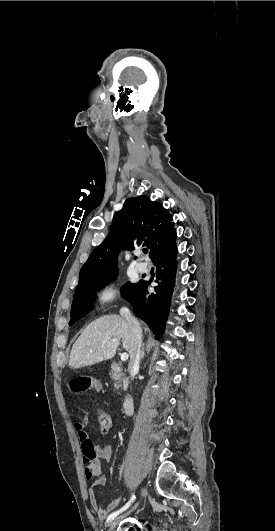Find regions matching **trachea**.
I'll return each mask as SVG.
<instances>
[{"mask_svg": "<svg viewBox=\"0 0 275 531\" xmlns=\"http://www.w3.org/2000/svg\"><path fill=\"white\" fill-rule=\"evenodd\" d=\"M143 252H144V253H148V250H147V249H143Z\"/></svg>", "mask_w": 275, "mask_h": 531, "instance_id": "1", "label": "trachea"}]
</instances>
